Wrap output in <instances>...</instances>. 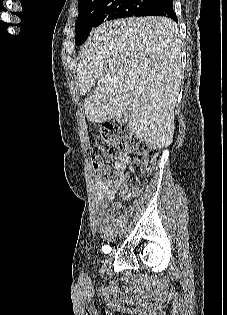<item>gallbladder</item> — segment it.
<instances>
[{
	"label": "gallbladder",
	"instance_id": "bac80fb5",
	"mask_svg": "<svg viewBox=\"0 0 227 315\" xmlns=\"http://www.w3.org/2000/svg\"><path fill=\"white\" fill-rule=\"evenodd\" d=\"M117 121L119 123H125L127 121V117H126L125 113H122L121 116L119 118H117Z\"/></svg>",
	"mask_w": 227,
	"mask_h": 315
}]
</instances>
